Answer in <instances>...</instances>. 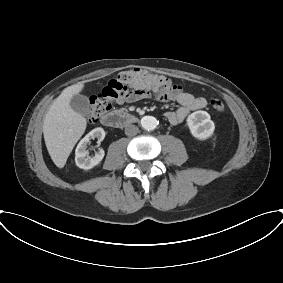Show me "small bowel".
I'll return each mask as SVG.
<instances>
[{
	"instance_id": "obj_1",
	"label": "small bowel",
	"mask_w": 283,
	"mask_h": 283,
	"mask_svg": "<svg viewBox=\"0 0 283 283\" xmlns=\"http://www.w3.org/2000/svg\"><path fill=\"white\" fill-rule=\"evenodd\" d=\"M155 97L160 101H174L180 106L174 111H168L165 113V117L172 125L179 124L185 120L191 111L202 109L206 106L207 101L202 97H196L191 93L183 90V88L170 82L168 89L153 93ZM146 96L135 95L130 91H127L123 96L115 100L116 104L133 103Z\"/></svg>"
}]
</instances>
